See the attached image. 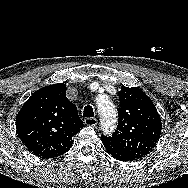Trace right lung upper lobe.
Here are the masks:
<instances>
[{"instance_id":"1","label":"right lung upper lobe","mask_w":188,"mask_h":188,"mask_svg":"<svg viewBox=\"0 0 188 188\" xmlns=\"http://www.w3.org/2000/svg\"><path fill=\"white\" fill-rule=\"evenodd\" d=\"M83 127L76 106L66 97V85L53 84L34 92L16 118L22 143L34 155L49 159L67 152Z\"/></svg>"}]
</instances>
